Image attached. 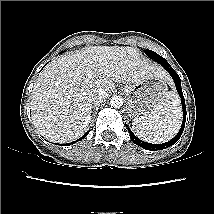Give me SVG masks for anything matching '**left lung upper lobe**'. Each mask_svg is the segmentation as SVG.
I'll return each mask as SVG.
<instances>
[{
    "mask_svg": "<svg viewBox=\"0 0 214 214\" xmlns=\"http://www.w3.org/2000/svg\"><path fill=\"white\" fill-rule=\"evenodd\" d=\"M145 53L151 58L153 59L155 62L159 63V64H163L165 62H167L163 57H161L160 55H158L157 53L151 51V50H145Z\"/></svg>",
    "mask_w": 214,
    "mask_h": 214,
    "instance_id": "left-lung-upper-lobe-1",
    "label": "left lung upper lobe"
}]
</instances>
